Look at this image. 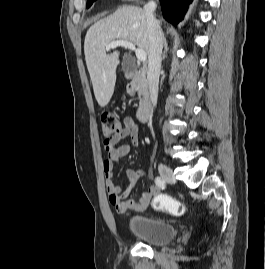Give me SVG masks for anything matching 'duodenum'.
Returning <instances> with one entry per match:
<instances>
[{
  "instance_id": "1",
  "label": "duodenum",
  "mask_w": 265,
  "mask_h": 269,
  "mask_svg": "<svg viewBox=\"0 0 265 269\" xmlns=\"http://www.w3.org/2000/svg\"><path fill=\"white\" fill-rule=\"evenodd\" d=\"M132 80L131 86L138 93L139 106L136 111V116L139 122H146L151 108V94L148 87L145 69H139L130 74Z\"/></svg>"
}]
</instances>
